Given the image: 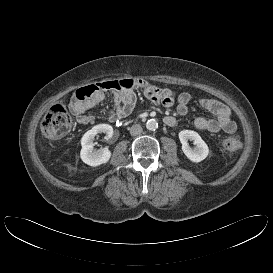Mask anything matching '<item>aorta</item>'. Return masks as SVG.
Returning a JSON list of instances; mask_svg holds the SVG:
<instances>
[{"label":"aorta","instance_id":"1","mask_svg":"<svg viewBox=\"0 0 273 273\" xmlns=\"http://www.w3.org/2000/svg\"><path fill=\"white\" fill-rule=\"evenodd\" d=\"M146 128L150 131H154L158 128V123L155 119H150L146 122Z\"/></svg>","mask_w":273,"mask_h":273}]
</instances>
